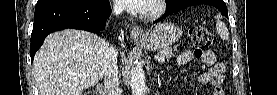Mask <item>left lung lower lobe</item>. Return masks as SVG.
<instances>
[{
	"label": "left lung lower lobe",
	"mask_w": 277,
	"mask_h": 95,
	"mask_svg": "<svg viewBox=\"0 0 277 95\" xmlns=\"http://www.w3.org/2000/svg\"><path fill=\"white\" fill-rule=\"evenodd\" d=\"M198 4L212 5L216 7L225 17H228L227 7L223 0H182L181 2L174 4L173 6L168 8L166 10V13L155 22H158L163 18L169 16L170 14L175 13L183 8Z\"/></svg>",
	"instance_id": "left-lung-lower-lobe-1"
}]
</instances>
